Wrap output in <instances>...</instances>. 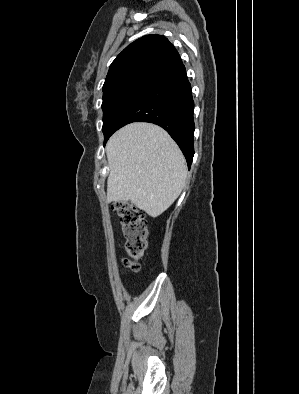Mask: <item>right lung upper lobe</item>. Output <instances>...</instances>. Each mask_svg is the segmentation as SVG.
<instances>
[{
    "label": "right lung upper lobe",
    "instance_id": "obj_1",
    "mask_svg": "<svg viewBox=\"0 0 299 394\" xmlns=\"http://www.w3.org/2000/svg\"><path fill=\"white\" fill-rule=\"evenodd\" d=\"M182 64L167 38L157 34L143 36L128 45L112 62L103 92L125 84L151 86Z\"/></svg>",
    "mask_w": 299,
    "mask_h": 394
}]
</instances>
